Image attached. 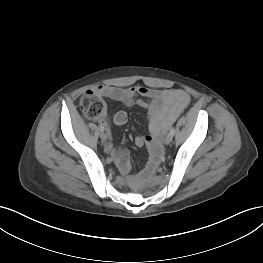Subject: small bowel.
Returning <instances> with one entry per match:
<instances>
[{"instance_id":"c3829d8e","label":"small bowel","mask_w":263,"mask_h":263,"mask_svg":"<svg viewBox=\"0 0 263 263\" xmlns=\"http://www.w3.org/2000/svg\"><path fill=\"white\" fill-rule=\"evenodd\" d=\"M93 92L101 97L115 100L126 106L137 104L147 110L149 134L135 138L138 147L148 145L155 150L162 135L168 127L179 117L190 102V96L181 89H153L145 86H131L119 88L108 85H100ZM101 122L107 124L105 117ZM115 125H123L127 122V113L118 111L113 115ZM107 151L115 159L119 170L128 175L131 171L128 151L124 148L115 147L111 141L106 145ZM136 176H129L135 180Z\"/></svg>"}]
</instances>
